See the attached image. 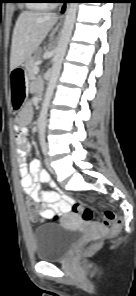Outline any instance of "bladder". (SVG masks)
I'll list each match as a JSON object with an SVG mask.
<instances>
[{"label": "bladder", "mask_w": 136, "mask_h": 296, "mask_svg": "<svg viewBox=\"0 0 136 296\" xmlns=\"http://www.w3.org/2000/svg\"><path fill=\"white\" fill-rule=\"evenodd\" d=\"M77 229L47 223L33 231L34 254L39 261H56L65 257L77 241Z\"/></svg>", "instance_id": "31cf9c89"}]
</instances>
